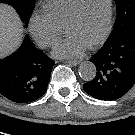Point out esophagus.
<instances>
[{
  "mask_svg": "<svg viewBox=\"0 0 135 135\" xmlns=\"http://www.w3.org/2000/svg\"><path fill=\"white\" fill-rule=\"evenodd\" d=\"M65 63L70 64L72 66H77L80 63V61H78V60L65 61Z\"/></svg>",
  "mask_w": 135,
  "mask_h": 135,
  "instance_id": "esophagus-1",
  "label": "esophagus"
}]
</instances>
